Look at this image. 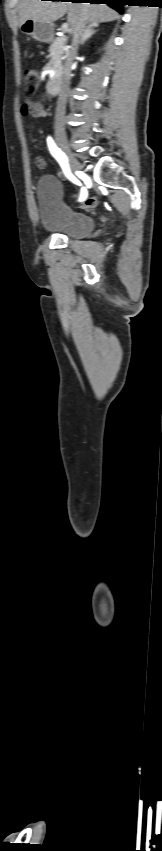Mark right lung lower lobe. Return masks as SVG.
I'll return each instance as SVG.
<instances>
[{
	"label": "right lung lower lobe",
	"mask_w": 162,
	"mask_h": 851,
	"mask_svg": "<svg viewBox=\"0 0 162 851\" xmlns=\"http://www.w3.org/2000/svg\"><path fill=\"white\" fill-rule=\"evenodd\" d=\"M55 1H63V0H55ZM71 2H88L91 4H108L110 7L115 9L118 12H122V7L128 0H71Z\"/></svg>",
	"instance_id": "1"
}]
</instances>
